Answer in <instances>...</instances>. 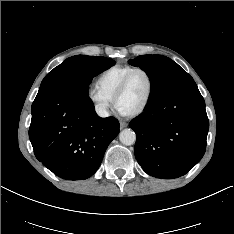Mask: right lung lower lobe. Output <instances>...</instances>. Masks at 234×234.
<instances>
[{
	"mask_svg": "<svg viewBox=\"0 0 234 234\" xmlns=\"http://www.w3.org/2000/svg\"><path fill=\"white\" fill-rule=\"evenodd\" d=\"M31 113L29 138L36 158L67 180L92 176L119 133L118 121L98 117L87 94L69 79L41 86Z\"/></svg>",
	"mask_w": 234,
	"mask_h": 234,
	"instance_id": "1",
	"label": "right lung lower lobe"
}]
</instances>
